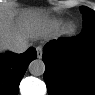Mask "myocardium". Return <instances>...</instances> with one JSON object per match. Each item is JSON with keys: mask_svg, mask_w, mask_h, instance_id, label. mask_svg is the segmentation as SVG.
<instances>
[{"mask_svg": "<svg viewBox=\"0 0 95 95\" xmlns=\"http://www.w3.org/2000/svg\"><path fill=\"white\" fill-rule=\"evenodd\" d=\"M77 32V26L74 22H68L62 29L61 35L63 37H72Z\"/></svg>", "mask_w": 95, "mask_h": 95, "instance_id": "obj_1", "label": "myocardium"}]
</instances>
